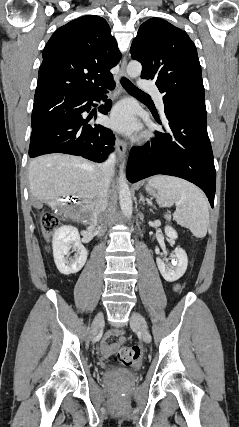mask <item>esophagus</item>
<instances>
[{
  "label": "esophagus",
  "mask_w": 239,
  "mask_h": 427,
  "mask_svg": "<svg viewBox=\"0 0 239 427\" xmlns=\"http://www.w3.org/2000/svg\"><path fill=\"white\" fill-rule=\"evenodd\" d=\"M120 76L122 78L123 77L127 78V58H126V56H124V58L121 62ZM117 88L119 90H122V84L120 83V81L117 82ZM116 145H117V151H118L119 156L121 158H123L127 152L126 142L124 140H122L121 138H117Z\"/></svg>",
  "instance_id": "34e87169"
}]
</instances>
